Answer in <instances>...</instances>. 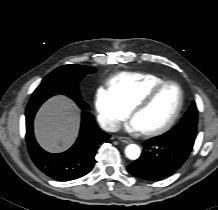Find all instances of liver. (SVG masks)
<instances>
[{"instance_id": "obj_1", "label": "liver", "mask_w": 218, "mask_h": 210, "mask_svg": "<svg viewBox=\"0 0 218 210\" xmlns=\"http://www.w3.org/2000/svg\"><path fill=\"white\" fill-rule=\"evenodd\" d=\"M79 123L77 106L69 98L57 95L38 111L34 123L35 136L45 150L64 151L75 141Z\"/></svg>"}]
</instances>
